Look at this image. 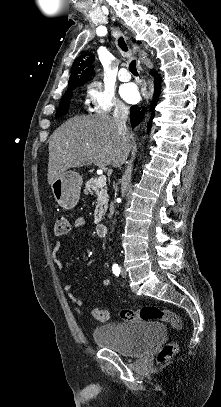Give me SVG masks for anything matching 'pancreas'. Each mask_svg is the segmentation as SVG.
<instances>
[{
  "mask_svg": "<svg viewBox=\"0 0 221 407\" xmlns=\"http://www.w3.org/2000/svg\"><path fill=\"white\" fill-rule=\"evenodd\" d=\"M97 178H90L84 188L85 194H95L97 197V205L94 211V223L97 224L101 221L102 217L104 216L107 210L108 204V194H107V187L106 185L102 187H97L96 182Z\"/></svg>",
  "mask_w": 221,
  "mask_h": 407,
  "instance_id": "pancreas-1",
  "label": "pancreas"
}]
</instances>
